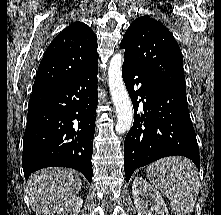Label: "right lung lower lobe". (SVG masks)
Listing matches in <instances>:
<instances>
[{"label": "right lung lower lobe", "instance_id": "obj_1", "mask_svg": "<svg viewBox=\"0 0 221 215\" xmlns=\"http://www.w3.org/2000/svg\"><path fill=\"white\" fill-rule=\"evenodd\" d=\"M97 63L55 86L33 91L23 140L26 179L41 168L79 170L91 183Z\"/></svg>", "mask_w": 221, "mask_h": 215}]
</instances>
